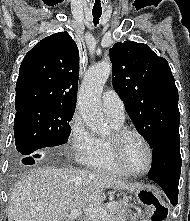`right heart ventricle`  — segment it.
Here are the masks:
<instances>
[{
  "label": "right heart ventricle",
  "instance_id": "e07e8e85",
  "mask_svg": "<svg viewBox=\"0 0 190 221\" xmlns=\"http://www.w3.org/2000/svg\"><path fill=\"white\" fill-rule=\"evenodd\" d=\"M111 121L113 130L122 127L123 123ZM86 165L93 170L125 175L126 173L116 164L108 142V137H96L95 149L92 156L86 162Z\"/></svg>",
  "mask_w": 190,
  "mask_h": 221
}]
</instances>
